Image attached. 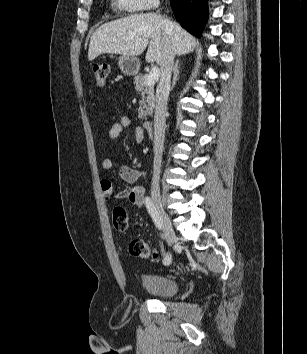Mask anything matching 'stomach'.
Segmentation results:
<instances>
[{
	"instance_id": "1",
	"label": "stomach",
	"mask_w": 307,
	"mask_h": 354,
	"mask_svg": "<svg viewBox=\"0 0 307 354\" xmlns=\"http://www.w3.org/2000/svg\"><path fill=\"white\" fill-rule=\"evenodd\" d=\"M120 70L125 75H136L140 68L139 59L133 56L122 55L118 59Z\"/></svg>"
}]
</instances>
